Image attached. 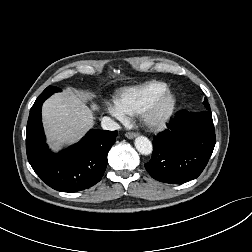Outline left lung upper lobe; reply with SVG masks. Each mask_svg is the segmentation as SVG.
Listing matches in <instances>:
<instances>
[{"label":"left lung upper lobe","instance_id":"obj_1","mask_svg":"<svg viewBox=\"0 0 252 252\" xmlns=\"http://www.w3.org/2000/svg\"><path fill=\"white\" fill-rule=\"evenodd\" d=\"M203 104L205 105V110H210V105H209V103L207 102V99H206V98L204 99Z\"/></svg>","mask_w":252,"mask_h":252}]
</instances>
